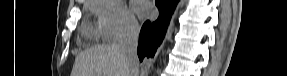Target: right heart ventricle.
<instances>
[{"label": "right heart ventricle", "mask_w": 287, "mask_h": 76, "mask_svg": "<svg viewBox=\"0 0 287 76\" xmlns=\"http://www.w3.org/2000/svg\"><path fill=\"white\" fill-rule=\"evenodd\" d=\"M84 33L90 37H97L98 33L90 26L84 27Z\"/></svg>", "instance_id": "1"}]
</instances>
